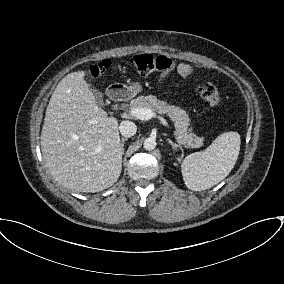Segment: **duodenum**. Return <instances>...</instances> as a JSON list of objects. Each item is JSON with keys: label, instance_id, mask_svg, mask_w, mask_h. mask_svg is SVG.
I'll return each mask as SVG.
<instances>
[{"label": "duodenum", "instance_id": "1", "mask_svg": "<svg viewBox=\"0 0 284 284\" xmlns=\"http://www.w3.org/2000/svg\"><path fill=\"white\" fill-rule=\"evenodd\" d=\"M109 96L111 100L114 102L115 106H118L120 103H122L128 98L129 92L127 89L117 86L110 89Z\"/></svg>", "mask_w": 284, "mask_h": 284}]
</instances>
